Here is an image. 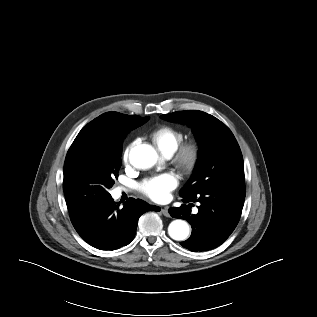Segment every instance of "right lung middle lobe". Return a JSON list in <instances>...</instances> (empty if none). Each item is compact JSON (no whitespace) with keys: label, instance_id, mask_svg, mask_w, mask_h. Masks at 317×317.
I'll return each mask as SVG.
<instances>
[{"label":"right lung middle lobe","instance_id":"right-lung-middle-lobe-1","mask_svg":"<svg viewBox=\"0 0 317 317\" xmlns=\"http://www.w3.org/2000/svg\"><path fill=\"white\" fill-rule=\"evenodd\" d=\"M119 118L128 115L116 113ZM149 117H136L130 124L118 128L120 141L90 135L75 139L64 164V194L85 204L103 200L118 178L121 166L123 139L133 129L143 125Z\"/></svg>","mask_w":317,"mask_h":317}]
</instances>
